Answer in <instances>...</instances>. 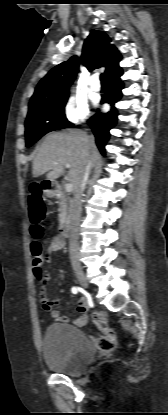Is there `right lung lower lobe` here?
Wrapping results in <instances>:
<instances>
[{"mask_svg": "<svg viewBox=\"0 0 168 415\" xmlns=\"http://www.w3.org/2000/svg\"><path fill=\"white\" fill-rule=\"evenodd\" d=\"M122 70L108 77L109 79V90L102 96L101 103H109L111 110L108 113H96L90 118L89 125L96 138V144L100 152L105 155V145L109 140V130L115 127L117 122V109L115 103L120 100L122 96L121 90L123 89V82L120 79ZM73 127V126H72Z\"/></svg>", "mask_w": 168, "mask_h": 415, "instance_id": "1", "label": "right lung lower lobe"}]
</instances>
